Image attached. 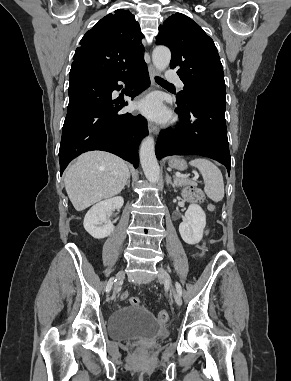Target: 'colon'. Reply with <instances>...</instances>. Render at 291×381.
<instances>
[{"label": "colon", "instance_id": "1", "mask_svg": "<svg viewBox=\"0 0 291 381\" xmlns=\"http://www.w3.org/2000/svg\"><path fill=\"white\" fill-rule=\"evenodd\" d=\"M183 195L189 201H192V202L200 201L203 196L202 191L196 186H192V185H189L184 188ZM210 209L214 210L215 209L214 205H210ZM120 299L123 301L128 300L131 303V305L140 306L139 298L136 296H129L127 292H122L120 295ZM156 317L158 322L166 323L169 320V312L166 310H161L157 313Z\"/></svg>", "mask_w": 291, "mask_h": 381}]
</instances>
